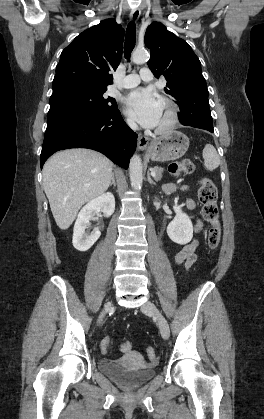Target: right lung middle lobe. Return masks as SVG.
Masks as SVG:
<instances>
[{"mask_svg": "<svg viewBox=\"0 0 264 419\" xmlns=\"http://www.w3.org/2000/svg\"><path fill=\"white\" fill-rule=\"evenodd\" d=\"M107 89L73 86L52 94L47 122L57 115L70 110L110 112L117 110L112 97L104 96Z\"/></svg>", "mask_w": 264, "mask_h": 419, "instance_id": "dd1d6c3e", "label": "right lung middle lobe"}]
</instances>
